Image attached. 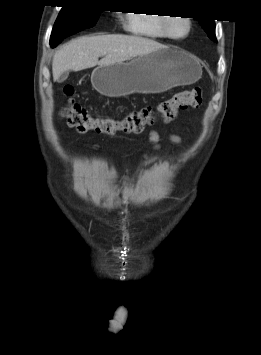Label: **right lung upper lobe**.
Wrapping results in <instances>:
<instances>
[{"label":"right lung upper lobe","mask_w":261,"mask_h":355,"mask_svg":"<svg viewBox=\"0 0 261 355\" xmlns=\"http://www.w3.org/2000/svg\"><path fill=\"white\" fill-rule=\"evenodd\" d=\"M66 1H71V3H72V1H76V0H66Z\"/></svg>","instance_id":"obj_1"}]
</instances>
